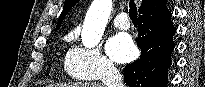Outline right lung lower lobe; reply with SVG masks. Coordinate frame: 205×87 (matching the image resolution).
<instances>
[{"label":"right lung lower lobe","instance_id":"98d812e1","mask_svg":"<svg viewBox=\"0 0 205 87\" xmlns=\"http://www.w3.org/2000/svg\"><path fill=\"white\" fill-rule=\"evenodd\" d=\"M139 13L137 45L141 55L125 66L124 80L129 87H166L175 46L172 14L166 0H156Z\"/></svg>","mask_w":205,"mask_h":87}]
</instances>
